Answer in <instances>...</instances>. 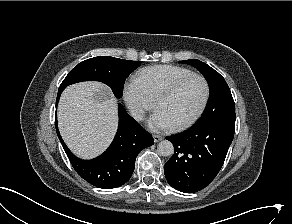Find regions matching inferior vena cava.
I'll list each match as a JSON object with an SVG mask.
<instances>
[{
  "label": "inferior vena cava",
  "mask_w": 292,
  "mask_h": 224,
  "mask_svg": "<svg viewBox=\"0 0 292 224\" xmlns=\"http://www.w3.org/2000/svg\"><path fill=\"white\" fill-rule=\"evenodd\" d=\"M131 116L136 120H142L144 111L138 107H131L130 109Z\"/></svg>",
  "instance_id": "obj_1"
}]
</instances>
